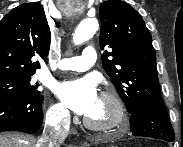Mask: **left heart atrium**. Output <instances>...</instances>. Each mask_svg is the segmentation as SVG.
I'll use <instances>...</instances> for the list:
<instances>
[{
	"instance_id": "1",
	"label": "left heart atrium",
	"mask_w": 183,
	"mask_h": 147,
	"mask_svg": "<svg viewBox=\"0 0 183 147\" xmlns=\"http://www.w3.org/2000/svg\"><path fill=\"white\" fill-rule=\"evenodd\" d=\"M55 91L67 107L81 115H87L99 98L91 77L59 82Z\"/></svg>"
}]
</instances>
